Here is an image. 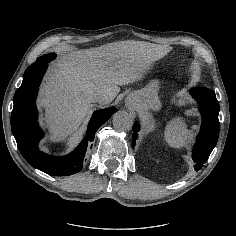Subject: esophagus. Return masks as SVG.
I'll return each mask as SVG.
<instances>
[{"label":"esophagus","instance_id":"esophagus-1","mask_svg":"<svg viewBox=\"0 0 236 236\" xmlns=\"http://www.w3.org/2000/svg\"><path fill=\"white\" fill-rule=\"evenodd\" d=\"M125 107L128 108V109H131V110L134 109L135 105L133 104L131 98H126Z\"/></svg>","mask_w":236,"mask_h":236}]
</instances>
